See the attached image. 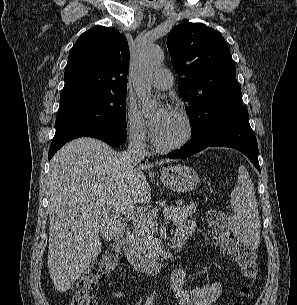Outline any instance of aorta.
Returning <instances> with one entry per match:
<instances>
[{"instance_id": "1", "label": "aorta", "mask_w": 297, "mask_h": 305, "mask_svg": "<svg viewBox=\"0 0 297 305\" xmlns=\"http://www.w3.org/2000/svg\"><path fill=\"white\" fill-rule=\"evenodd\" d=\"M163 58L164 53L160 47L148 45L141 50L135 66L133 86L142 101L143 109L147 112L155 106L150 79L161 65Z\"/></svg>"}]
</instances>
